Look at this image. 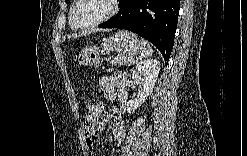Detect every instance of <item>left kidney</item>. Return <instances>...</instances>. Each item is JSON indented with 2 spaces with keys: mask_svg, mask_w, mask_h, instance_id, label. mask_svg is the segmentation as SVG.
<instances>
[{
  "mask_svg": "<svg viewBox=\"0 0 247 156\" xmlns=\"http://www.w3.org/2000/svg\"><path fill=\"white\" fill-rule=\"evenodd\" d=\"M160 71V62L157 59H146L137 63L132 72V80L139 86L136 97L127 101L128 113H133L143 104L155 86Z\"/></svg>",
  "mask_w": 247,
  "mask_h": 156,
  "instance_id": "left-kidney-1",
  "label": "left kidney"
}]
</instances>
